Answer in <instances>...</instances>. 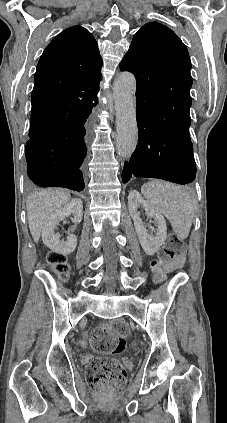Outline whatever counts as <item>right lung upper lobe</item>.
Segmentation results:
<instances>
[{
	"label": "right lung upper lobe",
	"mask_w": 227,
	"mask_h": 423,
	"mask_svg": "<svg viewBox=\"0 0 227 423\" xmlns=\"http://www.w3.org/2000/svg\"><path fill=\"white\" fill-rule=\"evenodd\" d=\"M102 58L91 33L80 26L58 34L44 50L35 73L32 102H63L80 97L97 98ZM63 122L31 123L30 139L61 128Z\"/></svg>",
	"instance_id": "1"
}]
</instances>
